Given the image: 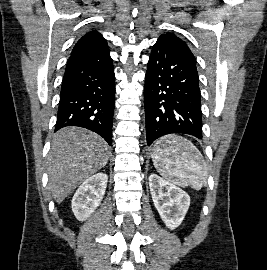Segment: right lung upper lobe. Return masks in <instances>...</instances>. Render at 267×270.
Wrapping results in <instances>:
<instances>
[{
	"instance_id": "1",
	"label": "right lung upper lobe",
	"mask_w": 267,
	"mask_h": 270,
	"mask_svg": "<svg viewBox=\"0 0 267 270\" xmlns=\"http://www.w3.org/2000/svg\"><path fill=\"white\" fill-rule=\"evenodd\" d=\"M106 40L102 37V35L97 31H91L84 35L74 46L71 55L84 51L86 49H90L93 47H97L103 44H106Z\"/></svg>"
}]
</instances>
